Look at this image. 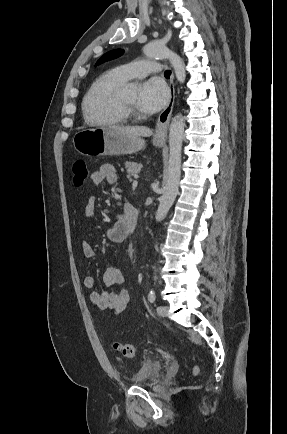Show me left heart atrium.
<instances>
[{"mask_svg":"<svg viewBox=\"0 0 287 434\" xmlns=\"http://www.w3.org/2000/svg\"><path fill=\"white\" fill-rule=\"evenodd\" d=\"M169 99V89L158 78L143 82L136 96L137 108L145 113H155L165 106Z\"/></svg>","mask_w":287,"mask_h":434,"instance_id":"obj_1","label":"left heart atrium"}]
</instances>
